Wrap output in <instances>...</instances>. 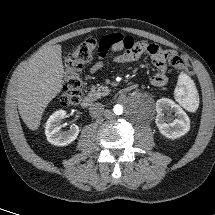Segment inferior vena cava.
<instances>
[{"label":"inferior vena cava","mask_w":215,"mask_h":215,"mask_svg":"<svg viewBox=\"0 0 215 215\" xmlns=\"http://www.w3.org/2000/svg\"><path fill=\"white\" fill-rule=\"evenodd\" d=\"M89 113L92 117L98 118L104 113V105L101 103H94L89 108Z\"/></svg>","instance_id":"obj_1"}]
</instances>
